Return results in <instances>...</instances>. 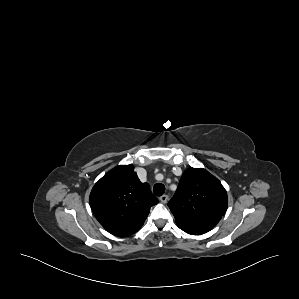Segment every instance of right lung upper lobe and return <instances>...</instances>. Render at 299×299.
Returning <instances> with one entry per match:
<instances>
[{
    "label": "right lung upper lobe",
    "instance_id": "cb5924a9",
    "mask_svg": "<svg viewBox=\"0 0 299 299\" xmlns=\"http://www.w3.org/2000/svg\"><path fill=\"white\" fill-rule=\"evenodd\" d=\"M90 206L99 223L111 234L126 237L144 224L150 208L158 203L148 183H142L133 165H120L93 187Z\"/></svg>",
    "mask_w": 299,
    "mask_h": 299
}]
</instances>
